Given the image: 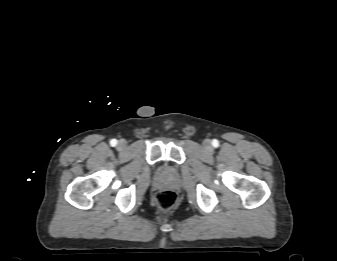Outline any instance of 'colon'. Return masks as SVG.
<instances>
[{
    "label": "colon",
    "mask_w": 337,
    "mask_h": 261,
    "mask_svg": "<svg viewBox=\"0 0 337 261\" xmlns=\"http://www.w3.org/2000/svg\"><path fill=\"white\" fill-rule=\"evenodd\" d=\"M155 200L162 210H170L177 203V194L172 190L164 189L156 194Z\"/></svg>",
    "instance_id": "colon-1"
}]
</instances>
